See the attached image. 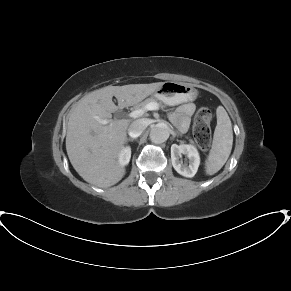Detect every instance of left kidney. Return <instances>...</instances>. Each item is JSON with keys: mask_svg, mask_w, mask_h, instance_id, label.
<instances>
[{"mask_svg": "<svg viewBox=\"0 0 291 291\" xmlns=\"http://www.w3.org/2000/svg\"><path fill=\"white\" fill-rule=\"evenodd\" d=\"M186 155L189 164L183 163L180 158ZM171 161L174 169L182 176L191 178L193 177L200 165V156L195 146L191 144H173L171 146Z\"/></svg>", "mask_w": 291, "mask_h": 291, "instance_id": "obj_1", "label": "left kidney"}]
</instances>
